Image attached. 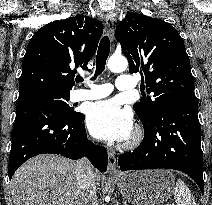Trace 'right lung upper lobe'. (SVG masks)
Listing matches in <instances>:
<instances>
[{"label":"right lung upper lobe","instance_id":"1","mask_svg":"<svg viewBox=\"0 0 212 205\" xmlns=\"http://www.w3.org/2000/svg\"><path fill=\"white\" fill-rule=\"evenodd\" d=\"M103 32L101 21L77 15L54 21L30 39L22 62L19 97L35 92L69 93L78 66L87 69Z\"/></svg>","mask_w":212,"mask_h":205}]
</instances>
